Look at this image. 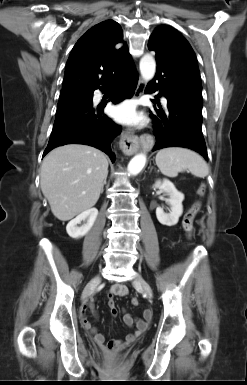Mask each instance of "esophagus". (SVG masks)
<instances>
[{
  "label": "esophagus",
  "mask_w": 247,
  "mask_h": 385,
  "mask_svg": "<svg viewBox=\"0 0 247 385\" xmlns=\"http://www.w3.org/2000/svg\"><path fill=\"white\" fill-rule=\"evenodd\" d=\"M144 88L145 82L142 78H139L134 97L139 98L142 95ZM119 145L125 154L132 155L136 153L139 148V139L131 130H126L121 135Z\"/></svg>",
  "instance_id": "34e87169"
}]
</instances>
